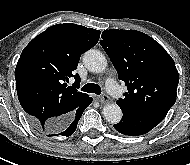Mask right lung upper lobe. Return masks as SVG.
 <instances>
[{
  "label": "right lung upper lobe",
  "mask_w": 190,
  "mask_h": 165,
  "mask_svg": "<svg viewBox=\"0 0 190 165\" xmlns=\"http://www.w3.org/2000/svg\"><path fill=\"white\" fill-rule=\"evenodd\" d=\"M100 31L66 23L49 27L22 51L15 69L19 102L38 130L61 129L89 95L67 86L81 54L97 44Z\"/></svg>",
  "instance_id": "cb5924a9"
}]
</instances>
